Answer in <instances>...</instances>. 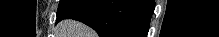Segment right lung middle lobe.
Wrapping results in <instances>:
<instances>
[{"mask_svg":"<svg viewBox=\"0 0 219 37\" xmlns=\"http://www.w3.org/2000/svg\"><path fill=\"white\" fill-rule=\"evenodd\" d=\"M74 0H61L58 6L57 15Z\"/></svg>","mask_w":219,"mask_h":37,"instance_id":"obj_1","label":"right lung middle lobe"}]
</instances>
